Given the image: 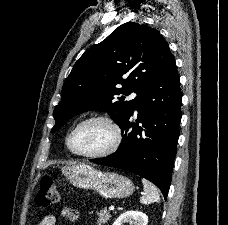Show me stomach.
<instances>
[{
    "label": "stomach",
    "instance_id": "0dacf381",
    "mask_svg": "<svg viewBox=\"0 0 228 225\" xmlns=\"http://www.w3.org/2000/svg\"><path fill=\"white\" fill-rule=\"evenodd\" d=\"M68 179L78 189H91L104 199H126L134 193V185L117 173L97 171L87 163H78L68 169Z\"/></svg>",
    "mask_w": 228,
    "mask_h": 225
}]
</instances>
